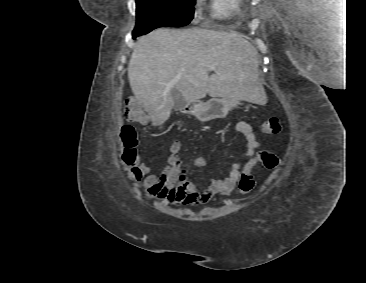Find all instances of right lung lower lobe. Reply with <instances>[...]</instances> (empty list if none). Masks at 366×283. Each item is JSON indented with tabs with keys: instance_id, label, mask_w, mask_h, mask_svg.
<instances>
[{
	"instance_id": "right-lung-lower-lobe-1",
	"label": "right lung lower lobe",
	"mask_w": 366,
	"mask_h": 283,
	"mask_svg": "<svg viewBox=\"0 0 366 283\" xmlns=\"http://www.w3.org/2000/svg\"><path fill=\"white\" fill-rule=\"evenodd\" d=\"M137 37V35L136 34H133V38H136Z\"/></svg>"
}]
</instances>
